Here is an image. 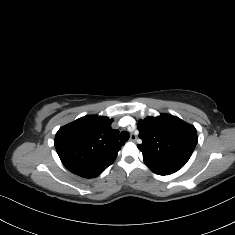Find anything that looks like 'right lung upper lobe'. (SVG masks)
I'll return each mask as SVG.
<instances>
[{
	"instance_id": "1",
	"label": "right lung upper lobe",
	"mask_w": 235,
	"mask_h": 235,
	"mask_svg": "<svg viewBox=\"0 0 235 235\" xmlns=\"http://www.w3.org/2000/svg\"><path fill=\"white\" fill-rule=\"evenodd\" d=\"M112 119L88 115L61 127L54 145L63 165L72 173L93 178L100 175L117 157L124 143Z\"/></svg>"
}]
</instances>
